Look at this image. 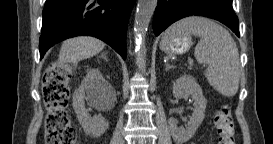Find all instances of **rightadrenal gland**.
Segmentation results:
<instances>
[{"mask_svg":"<svg viewBox=\"0 0 273 144\" xmlns=\"http://www.w3.org/2000/svg\"><path fill=\"white\" fill-rule=\"evenodd\" d=\"M101 57H102L103 59H105L106 61H108L107 52H103V53L101 54Z\"/></svg>","mask_w":273,"mask_h":144,"instance_id":"obj_1","label":"right adrenal gland"}]
</instances>
